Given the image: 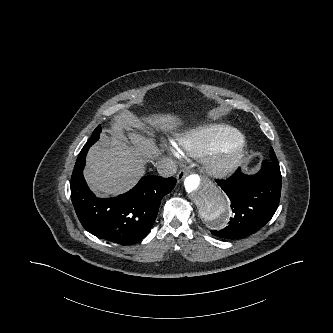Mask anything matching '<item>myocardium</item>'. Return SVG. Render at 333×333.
Instances as JSON below:
<instances>
[{"mask_svg":"<svg viewBox=\"0 0 333 333\" xmlns=\"http://www.w3.org/2000/svg\"><path fill=\"white\" fill-rule=\"evenodd\" d=\"M244 140L221 142L203 155V162L209 174L224 178L233 173L246 157Z\"/></svg>","mask_w":333,"mask_h":333,"instance_id":"f54148a6","label":"myocardium"}]
</instances>
